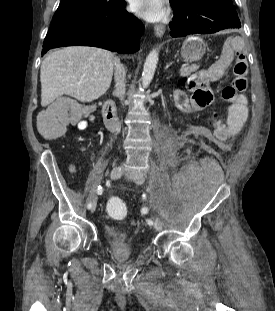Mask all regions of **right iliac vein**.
<instances>
[{
  "mask_svg": "<svg viewBox=\"0 0 275 311\" xmlns=\"http://www.w3.org/2000/svg\"><path fill=\"white\" fill-rule=\"evenodd\" d=\"M122 175V166L117 165L115 166L110 174L111 179L115 180L118 179ZM97 202L94 201L91 207V212H94L96 210Z\"/></svg>",
  "mask_w": 275,
  "mask_h": 311,
  "instance_id": "63e3f726",
  "label": "right iliac vein"
}]
</instances>
